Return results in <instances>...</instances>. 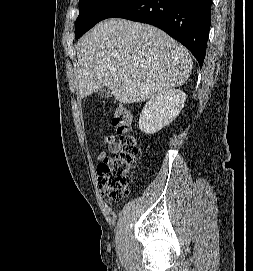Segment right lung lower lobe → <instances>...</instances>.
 Segmentation results:
<instances>
[{
  "instance_id": "98d812e1",
  "label": "right lung lower lobe",
  "mask_w": 253,
  "mask_h": 271,
  "mask_svg": "<svg viewBox=\"0 0 253 271\" xmlns=\"http://www.w3.org/2000/svg\"><path fill=\"white\" fill-rule=\"evenodd\" d=\"M212 0H129L112 17L154 25L187 47L202 67Z\"/></svg>"
}]
</instances>
